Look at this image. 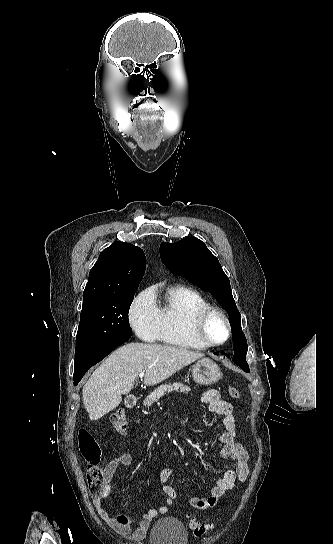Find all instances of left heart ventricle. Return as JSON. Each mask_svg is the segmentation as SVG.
I'll return each instance as SVG.
<instances>
[{"instance_id":"b2bd125f","label":"left heart ventricle","mask_w":333,"mask_h":544,"mask_svg":"<svg viewBox=\"0 0 333 544\" xmlns=\"http://www.w3.org/2000/svg\"><path fill=\"white\" fill-rule=\"evenodd\" d=\"M207 334L213 341H223L227 336V328L219 316H212L207 324Z\"/></svg>"}]
</instances>
